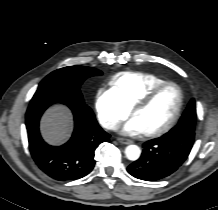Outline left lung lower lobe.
<instances>
[{
    "label": "left lung lower lobe",
    "instance_id": "1",
    "mask_svg": "<svg viewBox=\"0 0 218 210\" xmlns=\"http://www.w3.org/2000/svg\"><path fill=\"white\" fill-rule=\"evenodd\" d=\"M176 137L149 140L143 144L141 157L128 166L127 171L135 178L155 181L175 172L188 157L194 142L190 131Z\"/></svg>",
    "mask_w": 218,
    "mask_h": 210
}]
</instances>
